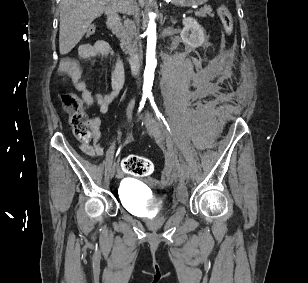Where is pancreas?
<instances>
[{
  "mask_svg": "<svg viewBox=\"0 0 308 283\" xmlns=\"http://www.w3.org/2000/svg\"><path fill=\"white\" fill-rule=\"evenodd\" d=\"M212 9L205 7L196 12V16L206 17L207 14L212 16ZM117 36L120 38L121 47L125 53L133 55L136 52V45L138 41L136 25L133 21L126 19L122 25L116 30Z\"/></svg>",
  "mask_w": 308,
  "mask_h": 283,
  "instance_id": "1",
  "label": "pancreas"
}]
</instances>
